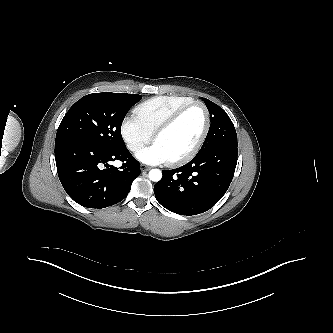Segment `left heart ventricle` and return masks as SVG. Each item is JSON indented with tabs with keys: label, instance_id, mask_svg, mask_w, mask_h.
Returning a JSON list of instances; mask_svg holds the SVG:
<instances>
[{
	"label": "left heart ventricle",
	"instance_id": "1",
	"mask_svg": "<svg viewBox=\"0 0 333 333\" xmlns=\"http://www.w3.org/2000/svg\"><path fill=\"white\" fill-rule=\"evenodd\" d=\"M205 123L200 106L188 110L170 129L155 141L167 155L168 160L188 152L200 137Z\"/></svg>",
	"mask_w": 333,
	"mask_h": 333
}]
</instances>
